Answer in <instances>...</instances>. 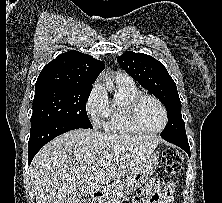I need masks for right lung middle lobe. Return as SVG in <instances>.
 <instances>
[{
    "label": "right lung middle lobe",
    "mask_w": 222,
    "mask_h": 203,
    "mask_svg": "<svg viewBox=\"0 0 222 203\" xmlns=\"http://www.w3.org/2000/svg\"><path fill=\"white\" fill-rule=\"evenodd\" d=\"M92 87L54 86L35 91L31 127L45 122H73L93 128L86 112Z\"/></svg>",
    "instance_id": "dd1d6c3e"
}]
</instances>
